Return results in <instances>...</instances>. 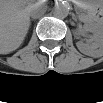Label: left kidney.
Segmentation results:
<instances>
[{"label":"left kidney","instance_id":"obj_1","mask_svg":"<svg viewBox=\"0 0 103 103\" xmlns=\"http://www.w3.org/2000/svg\"><path fill=\"white\" fill-rule=\"evenodd\" d=\"M84 28L86 30L89 29L87 25ZM91 31L93 32V35L89 39V42L84 43L82 41H78L76 43V46L81 53L92 57H98L99 55L102 54V46H103L102 30L92 29Z\"/></svg>","mask_w":103,"mask_h":103}]
</instances>
